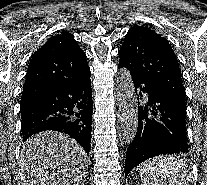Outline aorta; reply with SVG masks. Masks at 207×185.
Instances as JSON below:
<instances>
[{
    "label": "aorta",
    "instance_id": "1",
    "mask_svg": "<svg viewBox=\"0 0 207 185\" xmlns=\"http://www.w3.org/2000/svg\"><path fill=\"white\" fill-rule=\"evenodd\" d=\"M116 92L123 142L129 145L138 129V105L133 80L126 68L120 69L116 76Z\"/></svg>",
    "mask_w": 207,
    "mask_h": 185
}]
</instances>
